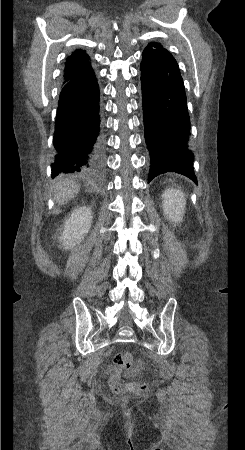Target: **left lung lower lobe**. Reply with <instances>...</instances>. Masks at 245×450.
<instances>
[{"label":"left lung lower lobe","mask_w":245,"mask_h":450,"mask_svg":"<svg viewBox=\"0 0 245 450\" xmlns=\"http://www.w3.org/2000/svg\"><path fill=\"white\" fill-rule=\"evenodd\" d=\"M144 131L150 152L148 183L176 172L197 184L189 149L190 117L180 70L169 60L141 62Z\"/></svg>","instance_id":"0a47b994"}]
</instances>
